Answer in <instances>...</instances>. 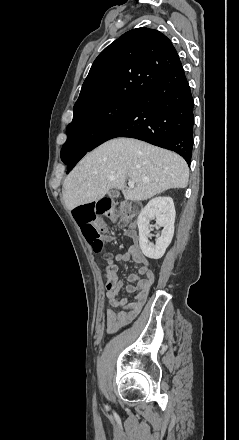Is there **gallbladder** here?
I'll return each mask as SVG.
<instances>
[{
  "mask_svg": "<svg viewBox=\"0 0 239 440\" xmlns=\"http://www.w3.org/2000/svg\"><path fill=\"white\" fill-rule=\"evenodd\" d=\"M108 196H110V198H118L120 196V192L118 189H113L111 192H108Z\"/></svg>",
  "mask_w": 239,
  "mask_h": 440,
  "instance_id": "bac80fb5",
  "label": "gallbladder"
}]
</instances>
